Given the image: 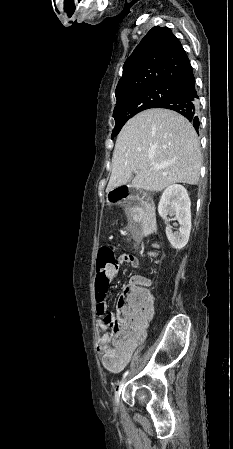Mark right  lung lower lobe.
Listing matches in <instances>:
<instances>
[{"label": "right lung lower lobe", "instance_id": "obj_1", "mask_svg": "<svg viewBox=\"0 0 233 449\" xmlns=\"http://www.w3.org/2000/svg\"><path fill=\"white\" fill-rule=\"evenodd\" d=\"M173 87L177 91V95L174 98L160 103L155 108H166L180 113L193 124L195 130L198 132L200 124L198 117L199 97L195 88V78L193 77Z\"/></svg>", "mask_w": 233, "mask_h": 449}]
</instances>
